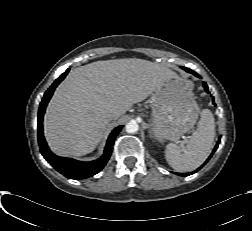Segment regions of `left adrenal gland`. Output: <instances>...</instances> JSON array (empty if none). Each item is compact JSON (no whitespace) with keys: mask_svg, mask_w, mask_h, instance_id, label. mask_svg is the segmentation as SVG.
<instances>
[{"mask_svg":"<svg viewBox=\"0 0 252 231\" xmlns=\"http://www.w3.org/2000/svg\"><path fill=\"white\" fill-rule=\"evenodd\" d=\"M149 135H151V130H149Z\"/></svg>","mask_w":252,"mask_h":231,"instance_id":"1","label":"left adrenal gland"}]
</instances>
